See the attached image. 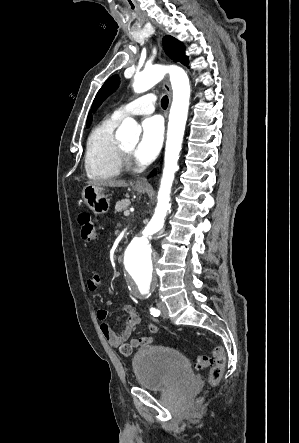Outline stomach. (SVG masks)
Masks as SVG:
<instances>
[{
	"mask_svg": "<svg viewBox=\"0 0 299 443\" xmlns=\"http://www.w3.org/2000/svg\"><path fill=\"white\" fill-rule=\"evenodd\" d=\"M135 189L139 193L147 191L146 187L136 186ZM82 198L95 215H103L109 211L110 198L105 194L102 186L86 185L82 191Z\"/></svg>",
	"mask_w": 299,
	"mask_h": 443,
	"instance_id": "obj_1",
	"label": "stomach"
}]
</instances>
